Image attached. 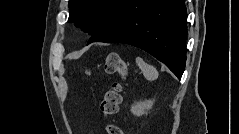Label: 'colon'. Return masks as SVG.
Listing matches in <instances>:
<instances>
[{
    "mask_svg": "<svg viewBox=\"0 0 239 134\" xmlns=\"http://www.w3.org/2000/svg\"><path fill=\"white\" fill-rule=\"evenodd\" d=\"M127 63L117 53H110L106 58L105 70L109 74L125 76ZM123 87L120 83L113 84L104 94L100 104V112L104 117L115 115L122 102ZM108 134H122L121 129L114 124L106 127Z\"/></svg>",
    "mask_w": 239,
    "mask_h": 134,
    "instance_id": "colon-1",
    "label": "colon"
}]
</instances>
